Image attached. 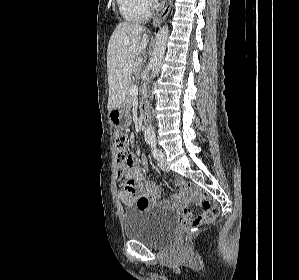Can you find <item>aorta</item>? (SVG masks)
Segmentation results:
<instances>
[{
	"label": "aorta",
	"instance_id": "obj_1",
	"mask_svg": "<svg viewBox=\"0 0 299 280\" xmlns=\"http://www.w3.org/2000/svg\"><path fill=\"white\" fill-rule=\"evenodd\" d=\"M168 34H169L168 26H164L159 30V32L156 36L155 46H154V50H153V56H152V60L150 62L151 70H152L151 72H152L153 77H156L160 72L162 60H163V57H164V54L166 51ZM144 136H145V139H147V140L155 139V133L151 126H149L145 130Z\"/></svg>",
	"mask_w": 299,
	"mask_h": 280
}]
</instances>
